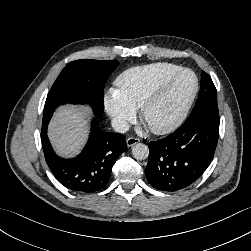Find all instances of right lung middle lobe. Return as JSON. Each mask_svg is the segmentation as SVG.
Returning a JSON list of instances; mask_svg holds the SVG:
<instances>
[{
  "label": "right lung middle lobe",
  "mask_w": 251,
  "mask_h": 251,
  "mask_svg": "<svg viewBox=\"0 0 251 251\" xmlns=\"http://www.w3.org/2000/svg\"><path fill=\"white\" fill-rule=\"evenodd\" d=\"M118 64L116 60L86 59L68 63L49 91L44 113L53 112L61 104H88L100 117L104 110V85Z\"/></svg>",
  "instance_id": "dd1d6c3e"
}]
</instances>
